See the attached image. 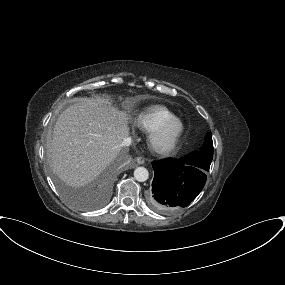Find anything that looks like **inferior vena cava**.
<instances>
[{"mask_svg":"<svg viewBox=\"0 0 285 285\" xmlns=\"http://www.w3.org/2000/svg\"><path fill=\"white\" fill-rule=\"evenodd\" d=\"M132 144V138L130 136L126 137L123 141L121 146H130Z\"/></svg>","mask_w":285,"mask_h":285,"instance_id":"1","label":"inferior vena cava"}]
</instances>
